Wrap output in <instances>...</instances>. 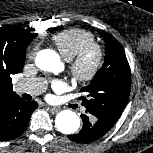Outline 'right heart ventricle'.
Returning a JSON list of instances; mask_svg holds the SVG:
<instances>
[{
	"instance_id": "1",
	"label": "right heart ventricle",
	"mask_w": 153,
	"mask_h": 153,
	"mask_svg": "<svg viewBox=\"0 0 153 153\" xmlns=\"http://www.w3.org/2000/svg\"><path fill=\"white\" fill-rule=\"evenodd\" d=\"M52 41L60 54L71 60L85 44L94 41V35L85 29L69 28L54 34Z\"/></svg>"
}]
</instances>
